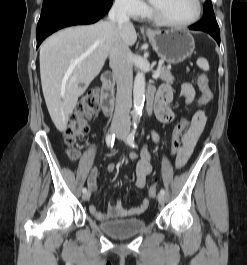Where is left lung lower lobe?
I'll use <instances>...</instances> for the list:
<instances>
[{
	"instance_id": "left-lung-lower-lobe-1",
	"label": "left lung lower lobe",
	"mask_w": 247,
	"mask_h": 265,
	"mask_svg": "<svg viewBox=\"0 0 247 265\" xmlns=\"http://www.w3.org/2000/svg\"><path fill=\"white\" fill-rule=\"evenodd\" d=\"M189 29L209 33L220 45V31L213 12L211 1H206L204 4L203 18L198 23L190 26Z\"/></svg>"
}]
</instances>
